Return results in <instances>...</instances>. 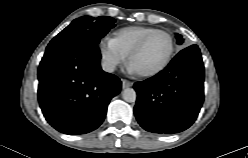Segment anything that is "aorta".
I'll use <instances>...</instances> for the list:
<instances>
[{
    "label": "aorta",
    "instance_id": "1",
    "mask_svg": "<svg viewBox=\"0 0 248 158\" xmlns=\"http://www.w3.org/2000/svg\"><path fill=\"white\" fill-rule=\"evenodd\" d=\"M122 97L126 102L132 103L136 101L137 94L136 91L132 88H126L122 92Z\"/></svg>",
    "mask_w": 248,
    "mask_h": 158
}]
</instances>
